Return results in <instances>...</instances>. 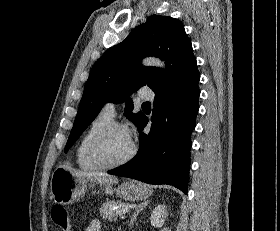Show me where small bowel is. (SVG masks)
Instances as JSON below:
<instances>
[{
    "label": "small bowel",
    "instance_id": "c3829d8e",
    "mask_svg": "<svg viewBox=\"0 0 280 231\" xmlns=\"http://www.w3.org/2000/svg\"><path fill=\"white\" fill-rule=\"evenodd\" d=\"M101 225L98 220H93L89 226L86 227L85 231H100Z\"/></svg>",
    "mask_w": 280,
    "mask_h": 231
}]
</instances>
